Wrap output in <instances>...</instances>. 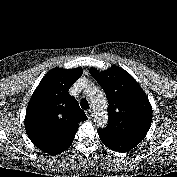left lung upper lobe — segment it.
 <instances>
[{
	"label": "left lung upper lobe",
	"mask_w": 177,
	"mask_h": 177,
	"mask_svg": "<svg viewBox=\"0 0 177 177\" xmlns=\"http://www.w3.org/2000/svg\"><path fill=\"white\" fill-rule=\"evenodd\" d=\"M90 73L103 88L109 104L108 125L98 131L101 141L134 148L144 139L152 122L148 97L136 80L118 66L103 72L92 68Z\"/></svg>",
	"instance_id": "obj_1"
}]
</instances>
